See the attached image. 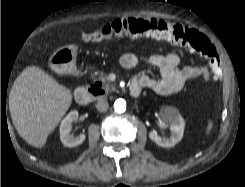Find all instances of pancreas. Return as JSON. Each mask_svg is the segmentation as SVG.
I'll return each mask as SVG.
<instances>
[{
    "instance_id": "pancreas-1",
    "label": "pancreas",
    "mask_w": 245,
    "mask_h": 187,
    "mask_svg": "<svg viewBox=\"0 0 245 187\" xmlns=\"http://www.w3.org/2000/svg\"><path fill=\"white\" fill-rule=\"evenodd\" d=\"M94 81H100L102 83V88L106 92L115 91V86L112 82L108 80V76L103 72H99L97 77L93 78Z\"/></svg>"
}]
</instances>
